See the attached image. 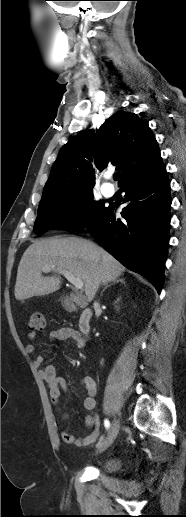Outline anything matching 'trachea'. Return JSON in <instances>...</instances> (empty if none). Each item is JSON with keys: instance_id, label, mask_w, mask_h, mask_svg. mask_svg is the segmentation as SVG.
Instances as JSON below:
<instances>
[{"instance_id": "3493384b", "label": "trachea", "mask_w": 186, "mask_h": 517, "mask_svg": "<svg viewBox=\"0 0 186 517\" xmlns=\"http://www.w3.org/2000/svg\"><path fill=\"white\" fill-rule=\"evenodd\" d=\"M113 178L117 181L120 178V173H115Z\"/></svg>"}]
</instances>
